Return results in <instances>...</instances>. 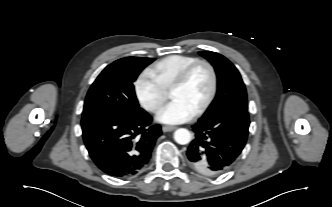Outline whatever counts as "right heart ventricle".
<instances>
[{
  "mask_svg": "<svg viewBox=\"0 0 332 207\" xmlns=\"http://www.w3.org/2000/svg\"><path fill=\"white\" fill-rule=\"evenodd\" d=\"M197 59L189 55H169L151 66L148 74L166 91L170 89L179 73Z\"/></svg>",
  "mask_w": 332,
  "mask_h": 207,
  "instance_id": "1",
  "label": "right heart ventricle"
}]
</instances>
